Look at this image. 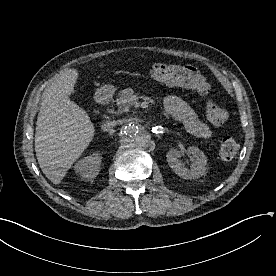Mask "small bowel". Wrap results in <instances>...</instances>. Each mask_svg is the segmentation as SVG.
<instances>
[{
  "mask_svg": "<svg viewBox=\"0 0 276 276\" xmlns=\"http://www.w3.org/2000/svg\"><path fill=\"white\" fill-rule=\"evenodd\" d=\"M165 108L191 134L200 138L211 137V128L198 118L194 110L182 98L175 95L168 96L165 99Z\"/></svg>",
  "mask_w": 276,
  "mask_h": 276,
  "instance_id": "1",
  "label": "small bowel"
}]
</instances>
